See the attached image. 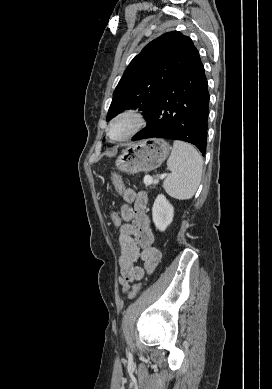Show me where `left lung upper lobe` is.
Segmentation results:
<instances>
[{
    "mask_svg": "<svg viewBox=\"0 0 272 389\" xmlns=\"http://www.w3.org/2000/svg\"><path fill=\"white\" fill-rule=\"evenodd\" d=\"M198 53L192 40L178 31L165 33L148 43L118 83L107 121L123 110L135 108L143 111L146 119L163 89Z\"/></svg>",
    "mask_w": 272,
    "mask_h": 389,
    "instance_id": "5c2ea615",
    "label": "left lung upper lobe"
}]
</instances>
